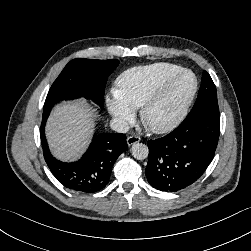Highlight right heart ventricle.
I'll return each instance as SVG.
<instances>
[{"mask_svg": "<svg viewBox=\"0 0 251 251\" xmlns=\"http://www.w3.org/2000/svg\"><path fill=\"white\" fill-rule=\"evenodd\" d=\"M181 69V66L167 62L129 68L117 77L115 93L133 110L139 109L163 80Z\"/></svg>", "mask_w": 251, "mask_h": 251, "instance_id": "obj_1", "label": "right heart ventricle"}]
</instances>
